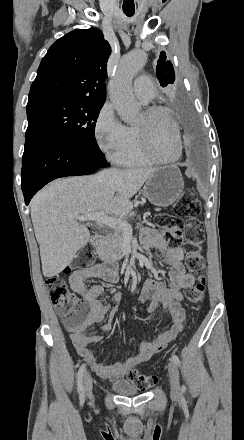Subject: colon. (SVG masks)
<instances>
[{
    "mask_svg": "<svg viewBox=\"0 0 244 440\" xmlns=\"http://www.w3.org/2000/svg\"><path fill=\"white\" fill-rule=\"evenodd\" d=\"M200 209L195 191L189 189L175 205L174 213L157 215V225L164 230L169 245L174 248L183 247L185 251V265L195 280L186 295L193 303H203L206 292V268L201 255L204 227L198 218ZM94 253L93 248H80L73 261L75 272H86L88 257H93ZM45 286L57 315L63 317L68 328L81 331L90 314V305L81 304L64 280L57 275L46 277ZM155 379L154 373H139L136 369L128 374V381L138 386L152 385Z\"/></svg>",
    "mask_w": 244,
    "mask_h": 440,
    "instance_id": "obj_1",
    "label": "colon"
}]
</instances>
